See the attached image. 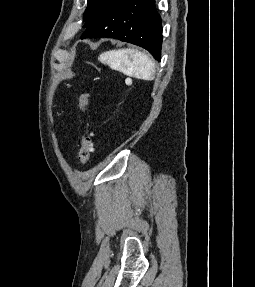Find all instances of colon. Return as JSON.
<instances>
[{"label": "colon", "instance_id": "obj_1", "mask_svg": "<svg viewBox=\"0 0 255 287\" xmlns=\"http://www.w3.org/2000/svg\"><path fill=\"white\" fill-rule=\"evenodd\" d=\"M89 98H90L89 93H82L79 96L78 101L79 108L84 114H86L88 110ZM91 138H92V132L90 131L88 124H85L83 127L82 134L80 136V149H79V159L80 163L83 166L88 164L93 150Z\"/></svg>", "mask_w": 255, "mask_h": 287}]
</instances>
